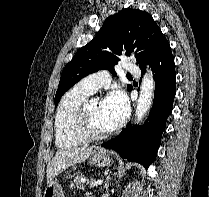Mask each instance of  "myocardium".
<instances>
[{"label": "myocardium", "instance_id": "myocardium-1", "mask_svg": "<svg viewBox=\"0 0 209 197\" xmlns=\"http://www.w3.org/2000/svg\"><path fill=\"white\" fill-rule=\"evenodd\" d=\"M94 101L93 99H87L79 108L74 122L76 133L85 141H96L109 136L113 129L106 131H96L93 129L89 117V106Z\"/></svg>", "mask_w": 209, "mask_h": 197}]
</instances>
